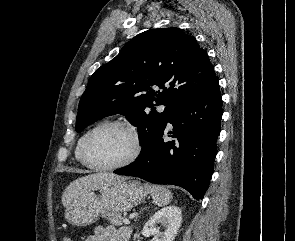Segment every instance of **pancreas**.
Instances as JSON below:
<instances>
[{
	"mask_svg": "<svg viewBox=\"0 0 295 241\" xmlns=\"http://www.w3.org/2000/svg\"><path fill=\"white\" fill-rule=\"evenodd\" d=\"M104 216L110 221L111 224L120 226L123 224L124 217L117 212H106Z\"/></svg>",
	"mask_w": 295,
	"mask_h": 241,
	"instance_id": "pancreas-1",
	"label": "pancreas"
}]
</instances>
